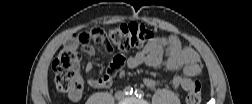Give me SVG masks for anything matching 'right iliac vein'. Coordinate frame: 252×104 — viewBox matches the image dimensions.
Returning <instances> with one entry per match:
<instances>
[{"mask_svg":"<svg viewBox=\"0 0 252 104\" xmlns=\"http://www.w3.org/2000/svg\"><path fill=\"white\" fill-rule=\"evenodd\" d=\"M124 93H122V92H118L117 94H116V99L117 100H121V99H123L124 98Z\"/></svg>","mask_w":252,"mask_h":104,"instance_id":"1","label":"right iliac vein"}]
</instances>
